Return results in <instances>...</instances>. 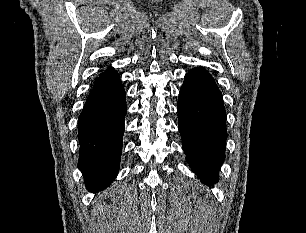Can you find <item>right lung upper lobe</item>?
<instances>
[{"label": "right lung upper lobe", "mask_w": 306, "mask_h": 233, "mask_svg": "<svg viewBox=\"0 0 306 233\" xmlns=\"http://www.w3.org/2000/svg\"><path fill=\"white\" fill-rule=\"evenodd\" d=\"M115 71H114V69L113 68H107L106 70H105V72H103L96 80H95V82H98V81H101V80H103V79H105L106 77H108V76H110L112 73H114ZM94 82V83H95Z\"/></svg>", "instance_id": "1"}]
</instances>
